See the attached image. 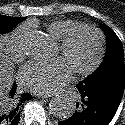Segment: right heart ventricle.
I'll use <instances>...</instances> for the list:
<instances>
[{
	"label": "right heart ventricle",
	"instance_id": "e07e8e85",
	"mask_svg": "<svg viewBox=\"0 0 125 125\" xmlns=\"http://www.w3.org/2000/svg\"><path fill=\"white\" fill-rule=\"evenodd\" d=\"M81 23L72 19H58L46 25V30L52 38L60 41L67 33Z\"/></svg>",
	"mask_w": 125,
	"mask_h": 125
}]
</instances>
